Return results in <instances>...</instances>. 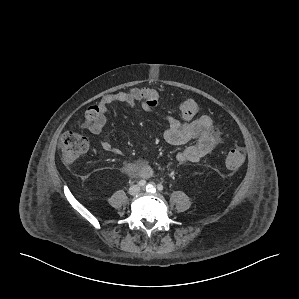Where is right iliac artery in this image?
Instances as JSON below:
<instances>
[{
  "label": "right iliac artery",
  "mask_w": 299,
  "mask_h": 299,
  "mask_svg": "<svg viewBox=\"0 0 299 299\" xmlns=\"http://www.w3.org/2000/svg\"><path fill=\"white\" fill-rule=\"evenodd\" d=\"M138 185H139V186H145V185H146V181H145V180H140V181L138 182Z\"/></svg>",
  "instance_id": "obj_1"
}]
</instances>
